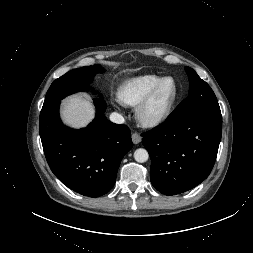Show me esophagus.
I'll list each match as a JSON object with an SVG mask.
<instances>
[{"mask_svg": "<svg viewBox=\"0 0 253 253\" xmlns=\"http://www.w3.org/2000/svg\"><path fill=\"white\" fill-rule=\"evenodd\" d=\"M141 140H142V137L140 136V134H138L137 132L132 134V141L134 144L140 143Z\"/></svg>", "mask_w": 253, "mask_h": 253, "instance_id": "1", "label": "esophagus"}]
</instances>
